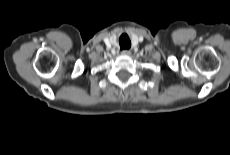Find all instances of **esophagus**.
<instances>
[{
  "instance_id": "1",
  "label": "esophagus",
  "mask_w": 230,
  "mask_h": 155,
  "mask_svg": "<svg viewBox=\"0 0 230 155\" xmlns=\"http://www.w3.org/2000/svg\"><path fill=\"white\" fill-rule=\"evenodd\" d=\"M122 54L128 56V55L131 54V52H130V50L124 49V50L122 51Z\"/></svg>"
}]
</instances>
